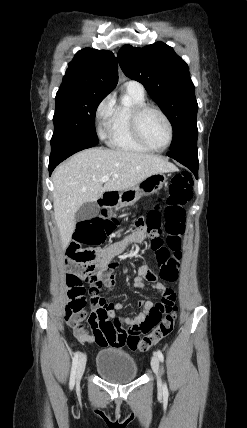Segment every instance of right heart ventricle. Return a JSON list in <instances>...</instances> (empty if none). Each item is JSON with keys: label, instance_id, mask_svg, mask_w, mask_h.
<instances>
[{"label": "right heart ventricle", "instance_id": "e07e8e85", "mask_svg": "<svg viewBox=\"0 0 247 428\" xmlns=\"http://www.w3.org/2000/svg\"><path fill=\"white\" fill-rule=\"evenodd\" d=\"M144 103H146L144 92L126 87L123 98L117 104H113V114L107 133L108 143L111 147L139 153L149 151L136 141L129 123L132 108Z\"/></svg>", "mask_w": 247, "mask_h": 428}]
</instances>
